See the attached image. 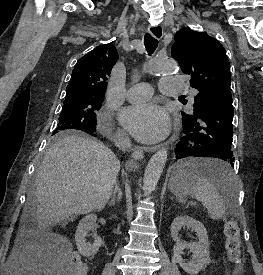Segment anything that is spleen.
<instances>
[{
  "mask_svg": "<svg viewBox=\"0 0 263 275\" xmlns=\"http://www.w3.org/2000/svg\"><path fill=\"white\" fill-rule=\"evenodd\" d=\"M206 169L223 173L212 178L204 173ZM170 189L181 203L186 202V196L202 202L213 220L229 214L237 202V178L226 163L217 160L191 158L180 162L173 168Z\"/></svg>",
  "mask_w": 263,
  "mask_h": 275,
  "instance_id": "1",
  "label": "spleen"
}]
</instances>
